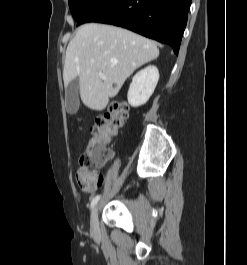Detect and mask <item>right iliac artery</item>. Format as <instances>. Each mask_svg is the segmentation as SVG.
<instances>
[{"label": "right iliac artery", "instance_id": "obj_1", "mask_svg": "<svg viewBox=\"0 0 247 265\" xmlns=\"http://www.w3.org/2000/svg\"><path fill=\"white\" fill-rule=\"evenodd\" d=\"M100 199V195L95 196L91 201V208H93Z\"/></svg>", "mask_w": 247, "mask_h": 265}]
</instances>
